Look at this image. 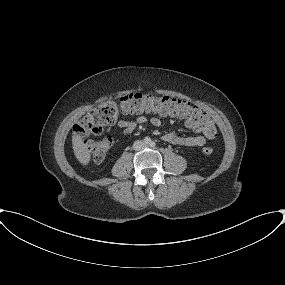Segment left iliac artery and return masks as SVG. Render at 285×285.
I'll list each match as a JSON object with an SVG mask.
<instances>
[{
  "instance_id": "left-iliac-artery-1",
  "label": "left iliac artery",
  "mask_w": 285,
  "mask_h": 285,
  "mask_svg": "<svg viewBox=\"0 0 285 285\" xmlns=\"http://www.w3.org/2000/svg\"><path fill=\"white\" fill-rule=\"evenodd\" d=\"M155 145H156V143L153 142V141L150 143V146H151V147H155Z\"/></svg>"
}]
</instances>
